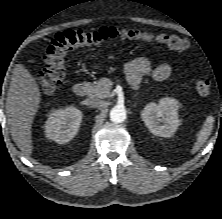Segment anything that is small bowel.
<instances>
[{
    "instance_id": "small-bowel-1",
    "label": "small bowel",
    "mask_w": 222,
    "mask_h": 219,
    "mask_svg": "<svg viewBox=\"0 0 222 219\" xmlns=\"http://www.w3.org/2000/svg\"><path fill=\"white\" fill-rule=\"evenodd\" d=\"M172 72L168 63H160L152 67L148 58L139 57L131 60L125 66V73L129 84L136 86L141 83L144 77H150L157 81L167 79Z\"/></svg>"
}]
</instances>
